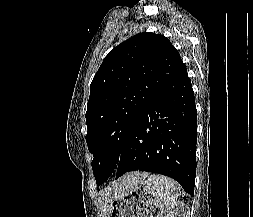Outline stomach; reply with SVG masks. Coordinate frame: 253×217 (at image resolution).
I'll list each match as a JSON object with an SVG mask.
<instances>
[{
	"label": "stomach",
	"instance_id": "1",
	"mask_svg": "<svg viewBox=\"0 0 253 217\" xmlns=\"http://www.w3.org/2000/svg\"><path fill=\"white\" fill-rule=\"evenodd\" d=\"M156 200L152 183L143 179L113 201L108 217H153Z\"/></svg>",
	"mask_w": 253,
	"mask_h": 217
}]
</instances>
